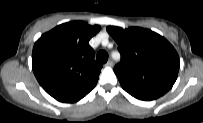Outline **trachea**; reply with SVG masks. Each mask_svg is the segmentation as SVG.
<instances>
[{"label": "trachea", "mask_w": 203, "mask_h": 123, "mask_svg": "<svg viewBox=\"0 0 203 123\" xmlns=\"http://www.w3.org/2000/svg\"><path fill=\"white\" fill-rule=\"evenodd\" d=\"M96 59L100 63H105L108 60V54L106 51H99L97 53Z\"/></svg>", "instance_id": "1"}]
</instances>
